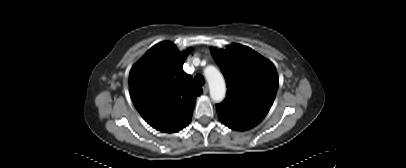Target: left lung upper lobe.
Returning <instances> with one entry per match:
<instances>
[{
    "label": "left lung upper lobe",
    "mask_w": 406,
    "mask_h": 168,
    "mask_svg": "<svg viewBox=\"0 0 406 168\" xmlns=\"http://www.w3.org/2000/svg\"><path fill=\"white\" fill-rule=\"evenodd\" d=\"M227 82V98L217 111L259 123L270 110L278 88L272 62L249 47L231 44L226 50L211 49Z\"/></svg>",
    "instance_id": "left-lung-upper-lobe-1"
}]
</instances>
